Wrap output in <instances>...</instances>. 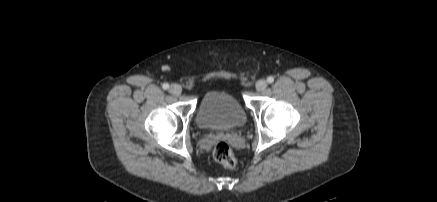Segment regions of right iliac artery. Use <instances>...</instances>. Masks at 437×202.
<instances>
[{"mask_svg":"<svg viewBox=\"0 0 437 202\" xmlns=\"http://www.w3.org/2000/svg\"><path fill=\"white\" fill-rule=\"evenodd\" d=\"M162 87H163V89L167 90V89H169V84L168 83H164L162 85Z\"/></svg>","mask_w":437,"mask_h":202,"instance_id":"right-iliac-artery-1","label":"right iliac artery"}]
</instances>
